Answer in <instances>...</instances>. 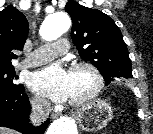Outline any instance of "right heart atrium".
<instances>
[{
  "mask_svg": "<svg viewBox=\"0 0 153 134\" xmlns=\"http://www.w3.org/2000/svg\"><path fill=\"white\" fill-rule=\"evenodd\" d=\"M32 105L36 110L42 111L47 107V102L40 96L32 98Z\"/></svg>",
  "mask_w": 153,
  "mask_h": 134,
  "instance_id": "d8ad5b80",
  "label": "right heart atrium"
}]
</instances>
